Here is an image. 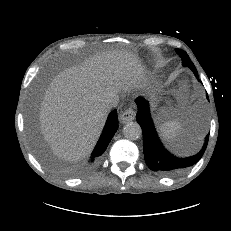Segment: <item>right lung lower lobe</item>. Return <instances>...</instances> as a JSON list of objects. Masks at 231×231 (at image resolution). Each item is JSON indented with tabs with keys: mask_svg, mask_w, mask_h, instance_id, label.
Wrapping results in <instances>:
<instances>
[{
	"mask_svg": "<svg viewBox=\"0 0 231 231\" xmlns=\"http://www.w3.org/2000/svg\"><path fill=\"white\" fill-rule=\"evenodd\" d=\"M117 129H118V116H117V111L114 110L108 116L102 135L89 159V166H94L99 162L101 155L106 150L109 142L111 141Z\"/></svg>",
	"mask_w": 231,
	"mask_h": 231,
	"instance_id": "98d812e1",
	"label": "right lung lower lobe"
}]
</instances>
